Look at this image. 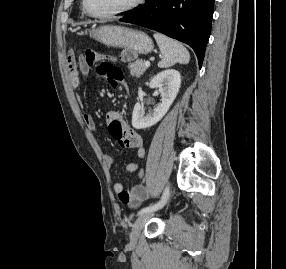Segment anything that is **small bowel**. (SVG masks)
<instances>
[{"label": "small bowel", "mask_w": 286, "mask_h": 269, "mask_svg": "<svg viewBox=\"0 0 286 269\" xmlns=\"http://www.w3.org/2000/svg\"><path fill=\"white\" fill-rule=\"evenodd\" d=\"M94 52V51H93ZM96 57L90 60L87 56H79L76 57L73 52H70L67 59V66H68V78L69 84L73 88H76L80 85L81 82V73H86L89 68L104 59H108L114 61L113 56H103L94 52ZM107 120L109 122V129L112 125L113 121H123L124 125L121 126V129L124 133V136L128 143V148L136 149L137 150V157L139 160L145 157V149L143 146V140L141 136L134 130L130 129L126 122L123 120L120 114L116 112H110L107 116ZM83 121L86 127L91 130L95 131V121L91 114L84 113L83 114ZM110 131V130H109ZM115 159L112 156L106 157L107 165H112ZM124 171L127 172H135L139 170V178H144V170L140 169L139 162H131L126 164L123 167ZM114 192L118 195L119 200L124 205L128 206L129 208H136L142 202H144L148 197V191L145 184L141 183L135 186L132 190H125L121 182H115L113 185Z\"/></svg>", "instance_id": "1"}]
</instances>
